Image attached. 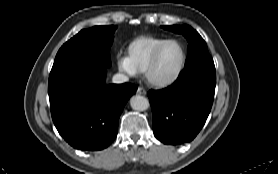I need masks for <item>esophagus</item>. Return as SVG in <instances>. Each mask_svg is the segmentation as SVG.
Masks as SVG:
<instances>
[{
  "label": "esophagus",
  "mask_w": 278,
  "mask_h": 174,
  "mask_svg": "<svg viewBox=\"0 0 278 174\" xmlns=\"http://www.w3.org/2000/svg\"><path fill=\"white\" fill-rule=\"evenodd\" d=\"M137 93L140 95H146V90L143 87H138Z\"/></svg>",
  "instance_id": "34e87169"
}]
</instances>
